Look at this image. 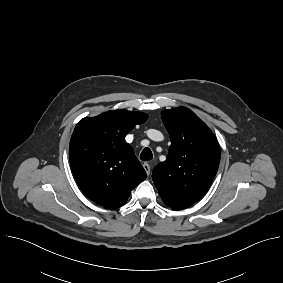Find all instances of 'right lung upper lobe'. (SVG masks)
Masks as SVG:
<instances>
[{"label": "right lung upper lobe", "mask_w": 283, "mask_h": 283, "mask_svg": "<svg viewBox=\"0 0 283 283\" xmlns=\"http://www.w3.org/2000/svg\"><path fill=\"white\" fill-rule=\"evenodd\" d=\"M145 113L115 110L76 125L69 146L70 164L85 195L106 208L124 205L147 175L125 136L147 120Z\"/></svg>", "instance_id": "obj_1"}]
</instances>
